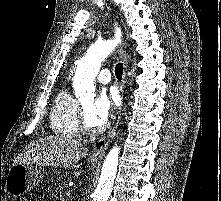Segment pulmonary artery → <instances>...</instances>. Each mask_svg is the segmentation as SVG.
<instances>
[{
  "instance_id": "e3ab8cb5",
  "label": "pulmonary artery",
  "mask_w": 221,
  "mask_h": 201,
  "mask_svg": "<svg viewBox=\"0 0 221 201\" xmlns=\"http://www.w3.org/2000/svg\"><path fill=\"white\" fill-rule=\"evenodd\" d=\"M111 80V74L108 69H102L97 75V81L102 84H107Z\"/></svg>"
}]
</instances>
